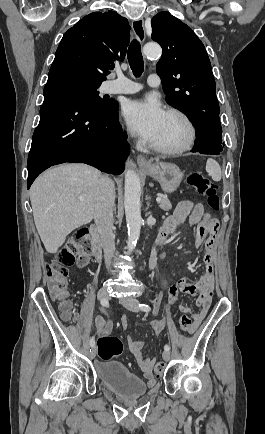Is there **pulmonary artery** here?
Instances as JSON below:
<instances>
[{"instance_id":"pulmonary-artery-1","label":"pulmonary artery","mask_w":265,"mask_h":434,"mask_svg":"<svg viewBox=\"0 0 265 434\" xmlns=\"http://www.w3.org/2000/svg\"><path fill=\"white\" fill-rule=\"evenodd\" d=\"M115 77L117 80L128 79L120 72L116 73ZM145 80L147 84L143 81H115L113 86L107 88V91L110 94H132L143 90L144 87H149V84L158 85L159 83V78L155 74L147 75Z\"/></svg>"}]
</instances>
